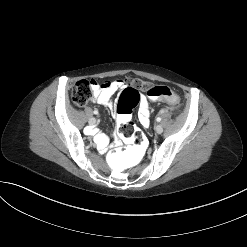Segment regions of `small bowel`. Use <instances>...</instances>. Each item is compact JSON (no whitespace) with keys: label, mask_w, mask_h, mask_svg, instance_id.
<instances>
[{"label":"small bowel","mask_w":247,"mask_h":247,"mask_svg":"<svg viewBox=\"0 0 247 247\" xmlns=\"http://www.w3.org/2000/svg\"><path fill=\"white\" fill-rule=\"evenodd\" d=\"M126 87V82L123 80H115L111 82H106L104 84L93 83V101L97 102L100 105L107 106L110 108L114 107L112 101L113 95L124 89ZM177 100V98H176ZM176 102V101H175ZM149 104L148 100L144 95H140L139 100V110H138V120L143 127L149 126ZM91 134L95 136L96 143L99 149L104 152L108 146L107 138L97 131H91ZM116 144H120L119 141H116Z\"/></svg>","instance_id":"c3829d8e"}]
</instances>
